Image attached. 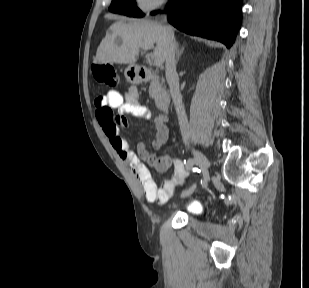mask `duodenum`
Wrapping results in <instances>:
<instances>
[{
	"label": "duodenum",
	"instance_id": "410a0bca",
	"mask_svg": "<svg viewBox=\"0 0 309 288\" xmlns=\"http://www.w3.org/2000/svg\"><path fill=\"white\" fill-rule=\"evenodd\" d=\"M138 76L141 81H146L150 78L151 73L148 68L141 67L138 70ZM158 105L160 109L167 110L170 104V96L167 93H162L157 98Z\"/></svg>",
	"mask_w": 309,
	"mask_h": 288
}]
</instances>
